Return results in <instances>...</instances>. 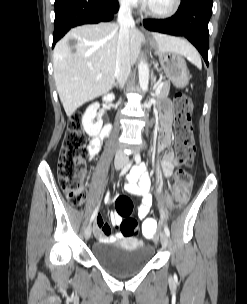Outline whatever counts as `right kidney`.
Wrapping results in <instances>:
<instances>
[{"mask_svg": "<svg viewBox=\"0 0 247 304\" xmlns=\"http://www.w3.org/2000/svg\"><path fill=\"white\" fill-rule=\"evenodd\" d=\"M115 99V95L113 93H108L103 97V101L106 103H110ZM99 103L91 104L85 111L82 117V126L85 132L91 136H97L102 128L103 121L101 117L97 114V110L99 109ZM96 119V122L94 121Z\"/></svg>", "mask_w": 247, "mask_h": 304, "instance_id": "right-kidney-1", "label": "right kidney"}]
</instances>
